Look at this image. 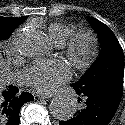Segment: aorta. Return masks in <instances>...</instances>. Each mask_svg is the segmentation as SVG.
Segmentation results:
<instances>
[{
    "mask_svg": "<svg viewBox=\"0 0 125 125\" xmlns=\"http://www.w3.org/2000/svg\"><path fill=\"white\" fill-rule=\"evenodd\" d=\"M22 53L32 58H43L50 50L48 37L41 31H32L22 39ZM53 117L58 120H67L75 114L76 106L69 97L61 96L54 98L49 106Z\"/></svg>",
    "mask_w": 125,
    "mask_h": 125,
    "instance_id": "obj_1",
    "label": "aorta"
}]
</instances>
